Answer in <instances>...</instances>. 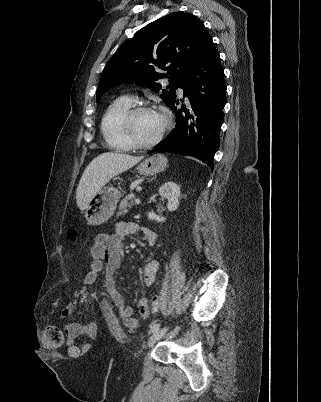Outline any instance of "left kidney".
Instances as JSON below:
<instances>
[{
    "mask_svg": "<svg viewBox=\"0 0 321 402\" xmlns=\"http://www.w3.org/2000/svg\"><path fill=\"white\" fill-rule=\"evenodd\" d=\"M159 194L168 200L167 209L170 212L175 211L178 208L180 187L176 183L172 181L164 183L159 188ZM147 215L150 220H155L157 222H164L166 220L165 217L158 216L154 212H148Z\"/></svg>",
    "mask_w": 321,
    "mask_h": 402,
    "instance_id": "obj_1",
    "label": "left kidney"
}]
</instances>
